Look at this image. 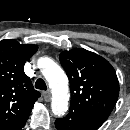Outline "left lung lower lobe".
Returning a JSON list of instances; mask_svg holds the SVG:
<instances>
[{
  "mask_svg": "<svg viewBox=\"0 0 130 130\" xmlns=\"http://www.w3.org/2000/svg\"><path fill=\"white\" fill-rule=\"evenodd\" d=\"M106 118L87 109L70 107L64 118L55 121L57 130H97Z\"/></svg>",
  "mask_w": 130,
  "mask_h": 130,
  "instance_id": "left-lung-lower-lobe-1",
  "label": "left lung lower lobe"
}]
</instances>
